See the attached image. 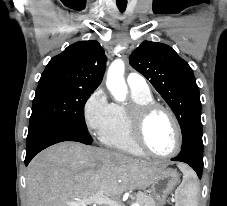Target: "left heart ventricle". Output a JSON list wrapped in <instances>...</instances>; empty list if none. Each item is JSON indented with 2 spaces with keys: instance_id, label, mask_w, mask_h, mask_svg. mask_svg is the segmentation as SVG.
<instances>
[{
  "instance_id": "left-heart-ventricle-1",
  "label": "left heart ventricle",
  "mask_w": 227,
  "mask_h": 206,
  "mask_svg": "<svg viewBox=\"0 0 227 206\" xmlns=\"http://www.w3.org/2000/svg\"><path fill=\"white\" fill-rule=\"evenodd\" d=\"M146 142L156 153L168 154L175 148L176 132L170 118L163 112L154 113L146 128Z\"/></svg>"
}]
</instances>
